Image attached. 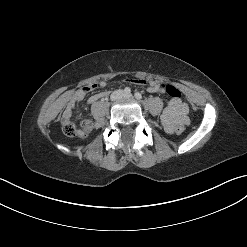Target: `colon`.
Segmentation results:
<instances>
[{
	"label": "colon",
	"instance_id": "obj_1",
	"mask_svg": "<svg viewBox=\"0 0 247 247\" xmlns=\"http://www.w3.org/2000/svg\"><path fill=\"white\" fill-rule=\"evenodd\" d=\"M161 88L165 90V92L172 99H181V92L173 85L161 84ZM92 123L88 120H83L78 118L77 121L67 120L63 123V132L67 136L73 137L79 135V133L87 132L91 129ZM184 126L178 125L175 127L176 134H182L184 132Z\"/></svg>",
	"mask_w": 247,
	"mask_h": 247
}]
</instances>
